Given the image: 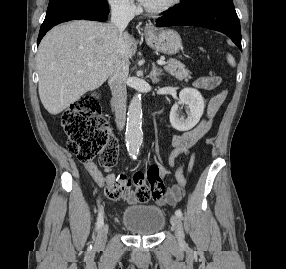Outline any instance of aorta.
<instances>
[{"instance_id":"1","label":"aorta","mask_w":286,"mask_h":269,"mask_svg":"<svg viewBox=\"0 0 286 269\" xmlns=\"http://www.w3.org/2000/svg\"><path fill=\"white\" fill-rule=\"evenodd\" d=\"M142 140L141 94H136L129 105L126 129V146L131 156L138 155Z\"/></svg>"}]
</instances>
